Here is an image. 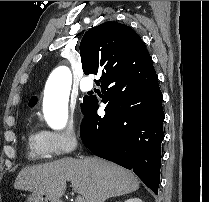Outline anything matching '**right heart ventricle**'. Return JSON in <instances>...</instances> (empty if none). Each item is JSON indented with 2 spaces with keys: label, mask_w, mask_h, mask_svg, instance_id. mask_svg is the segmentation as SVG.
Returning a JSON list of instances; mask_svg holds the SVG:
<instances>
[{
  "label": "right heart ventricle",
  "mask_w": 209,
  "mask_h": 202,
  "mask_svg": "<svg viewBox=\"0 0 209 202\" xmlns=\"http://www.w3.org/2000/svg\"><path fill=\"white\" fill-rule=\"evenodd\" d=\"M27 155L31 160H46L52 154L43 145L41 133L32 125L27 134Z\"/></svg>",
  "instance_id": "obj_1"
}]
</instances>
